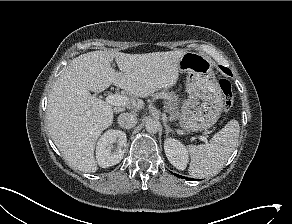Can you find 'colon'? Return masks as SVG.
Returning <instances> with one entry per match:
<instances>
[{
  "label": "colon",
  "instance_id": "1",
  "mask_svg": "<svg viewBox=\"0 0 292 224\" xmlns=\"http://www.w3.org/2000/svg\"><path fill=\"white\" fill-rule=\"evenodd\" d=\"M219 86L224 96V109L228 110L233 104V89L229 80L220 78Z\"/></svg>",
  "mask_w": 292,
  "mask_h": 224
}]
</instances>
